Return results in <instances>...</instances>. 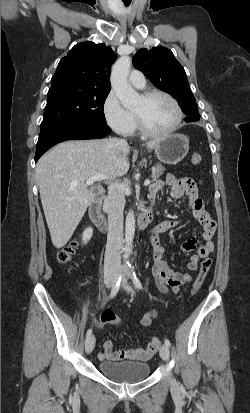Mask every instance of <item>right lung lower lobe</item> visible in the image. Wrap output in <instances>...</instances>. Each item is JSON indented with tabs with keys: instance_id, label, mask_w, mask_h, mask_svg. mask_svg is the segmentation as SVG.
I'll return each mask as SVG.
<instances>
[{
	"instance_id": "1",
	"label": "right lung lower lobe",
	"mask_w": 250,
	"mask_h": 413,
	"mask_svg": "<svg viewBox=\"0 0 250 413\" xmlns=\"http://www.w3.org/2000/svg\"><path fill=\"white\" fill-rule=\"evenodd\" d=\"M111 132L107 125L70 123L56 127L39 136L35 162L51 147L66 140L100 139Z\"/></svg>"
}]
</instances>
